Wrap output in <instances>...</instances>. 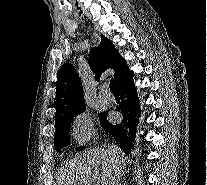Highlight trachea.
I'll return each instance as SVG.
<instances>
[{"label": "trachea", "instance_id": "3493384b", "mask_svg": "<svg viewBox=\"0 0 207 185\" xmlns=\"http://www.w3.org/2000/svg\"><path fill=\"white\" fill-rule=\"evenodd\" d=\"M110 89L114 94H118V90L113 79L110 81Z\"/></svg>", "mask_w": 207, "mask_h": 185}]
</instances>
